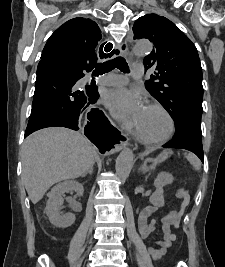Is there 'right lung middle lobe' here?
<instances>
[{"mask_svg": "<svg viewBox=\"0 0 225 267\" xmlns=\"http://www.w3.org/2000/svg\"><path fill=\"white\" fill-rule=\"evenodd\" d=\"M92 91H94V88L93 89H91ZM95 97H97V95H95Z\"/></svg>", "mask_w": 225, "mask_h": 267, "instance_id": "1", "label": "right lung middle lobe"}]
</instances>
